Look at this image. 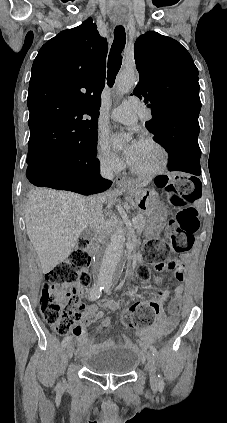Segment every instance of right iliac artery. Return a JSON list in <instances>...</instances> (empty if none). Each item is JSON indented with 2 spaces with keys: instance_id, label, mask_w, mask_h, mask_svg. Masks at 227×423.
I'll list each match as a JSON object with an SVG mask.
<instances>
[{
  "instance_id": "right-iliac-artery-1",
  "label": "right iliac artery",
  "mask_w": 227,
  "mask_h": 423,
  "mask_svg": "<svg viewBox=\"0 0 227 423\" xmlns=\"http://www.w3.org/2000/svg\"><path fill=\"white\" fill-rule=\"evenodd\" d=\"M104 289V285L103 284H96L93 285L91 292H90V298L92 300H95L97 298L100 297L102 290ZM72 340V336H67L62 340V347H66L67 344L69 343V341ZM60 386V384L58 385V387Z\"/></svg>"
}]
</instances>
